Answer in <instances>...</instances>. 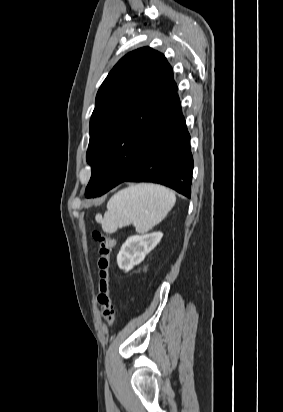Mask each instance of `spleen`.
I'll return each instance as SVG.
<instances>
[{"label": "spleen", "instance_id": "spleen-1", "mask_svg": "<svg viewBox=\"0 0 283 412\" xmlns=\"http://www.w3.org/2000/svg\"><path fill=\"white\" fill-rule=\"evenodd\" d=\"M175 202V194L166 187L150 183L131 185L111 197L100 222L106 233L130 224L136 232L146 233L166 217Z\"/></svg>", "mask_w": 283, "mask_h": 412}]
</instances>
